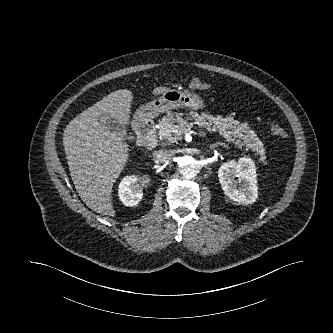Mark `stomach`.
I'll return each mask as SVG.
<instances>
[{
	"label": "stomach",
	"mask_w": 333,
	"mask_h": 333,
	"mask_svg": "<svg viewBox=\"0 0 333 333\" xmlns=\"http://www.w3.org/2000/svg\"><path fill=\"white\" fill-rule=\"evenodd\" d=\"M179 107L197 110L203 107V100L195 93L170 89L163 92L153 101L141 106L135 113L134 120L143 122L146 119H153L163 112Z\"/></svg>",
	"instance_id": "obj_1"
}]
</instances>
